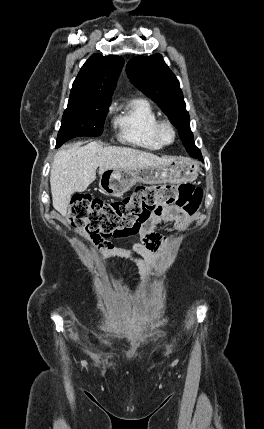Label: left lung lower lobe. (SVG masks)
Instances as JSON below:
<instances>
[{
	"label": "left lung lower lobe",
	"instance_id": "obj_1",
	"mask_svg": "<svg viewBox=\"0 0 264 429\" xmlns=\"http://www.w3.org/2000/svg\"><path fill=\"white\" fill-rule=\"evenodd\" d=\"M191 156H196V157H198V158H201V153H200V151L198 150V151H196V152L191 153Z\"/></svg>",
	"mask_w": 264,
	"mask_h": 429
}]
</instances>
